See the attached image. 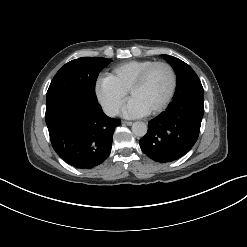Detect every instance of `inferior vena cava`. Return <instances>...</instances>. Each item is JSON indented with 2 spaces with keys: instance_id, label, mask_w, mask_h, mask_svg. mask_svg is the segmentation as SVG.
Returning <instances> with one entry per match:
<instances>
[{
  "instance_id": "602c4592",
  "label": "inferior vena cava",
  "mask_w": 247,
  "mask_h": 247,
  "mask_svg": "<svg viewBox=\"0 0 247 247\" xmlns=\"http://www.w3.org/2000/svg\"><path fill=\"white\" fill-rule=\"evenodd\" d=\"M104 112L110 117H114L118 114V110L115 107H105Z\"/></svg>"
}]
</instances>
